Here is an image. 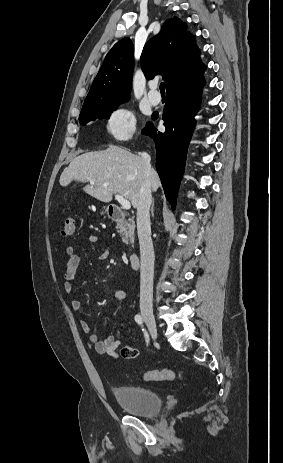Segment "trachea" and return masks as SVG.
I'll return each instance as SVG.
<instances>
[{
	"label": "trachea",
	"mask_w": 283,
	"mask_h": 463,
	"mask_svg": "<svg viewBox=\"0 0 283 463\" xmlns=\"http://www.w3.org/2000/svg\"><path fill=\"white\" fill-rule=\"evenodd\" d=\"M159 89H160V92H161L162 94H164V93H165V85H164V83H163V82L160 84V87H159Z\"/></svg>",
	"instance_id": "obj_1"
}]
</instances>
